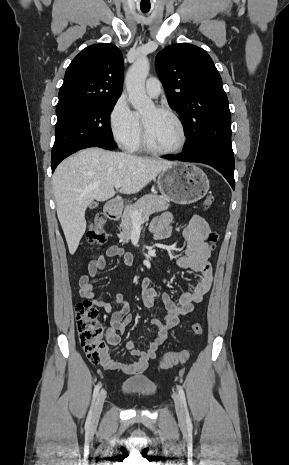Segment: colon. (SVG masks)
Here are the masks:
<instances>
[{
	"instance_id": "5ec220e1",
	"label": "colon",
	"mask_w": 289,
	"mask_h": 465,
	"mask_svg": "<svg viewBox=\"0 0 289 465\" xmlns=\"http://www.w3.org/2000/svg\"><path fill=\"white\" fill-rule=\"evenodd\" d=\"M214 203V196L208 195L204 199V207L210 208ZM88 242L96 245H103L107 240L106 222L102 214L95 216L87 231ZM219 239L217 232H211L208 236V241L212 247H215ZM77 329L79 340L82 349L86 353L89 360L93 363L100 362L102 352L105 349L104 334L105 329L99 321L98 310L89 300H83L76 304L75 307ZM192 331L196 335H200L203 329L200 324L194 323ZM189 356L187 350L181 352L166 353L161 357L160 366L163 369H169L178 364L184 363Z\"/></svg>"
}]
</instances>
